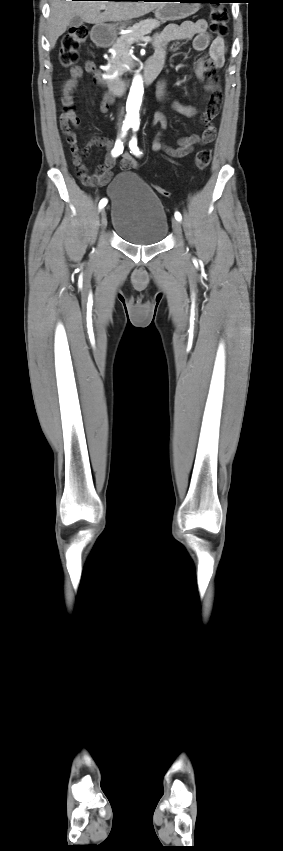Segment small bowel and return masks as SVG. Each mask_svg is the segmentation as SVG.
Returning <instances> with one entry per match:
<instances>
[{"mask_svg":"<svg viewBox=\"0 0 283 851\" xmlns=\"http://www.w3.org/2000/svg\"><path fill=\"white\" fill-rule=\"evenodd\" d=\"M192 41V46L196 51L207 50L208 58H200L195 65L196 76L206 81L205 89L209 94L215 90L214 71L216 68L222 67L225 59L226 44L222 37H212L207 31V22L203 19L196 21H184L181 24H169L162 31L155 35L154 47L155 54L152 58L161 60L163 63L167 56V45L171 42ZM84 73L91 74L98 82L103 90H108L111 87V82L106 74H102L95 66L94 62L86 61L83 65H76L70 70V77L65 82L62 88V101L66 107V112L61 117V127L63 134L70 144V151L73 157V164L78 171L90 177L89 185L95 182L100 185H105L111 178V169L115 165V158L108 154L105 161L97 169V173L92 177L88 173L86 165L82 161V156L87 155L93 146L111 147V140L107 137L94 136L85 147L80 148L75 132L69 128V123L77 124V118L73 109L72 93L78 84V80ZM158 97L161 100L167 99L166 81L163 80L158 86ZM114 101L113 95L105 93L101 103L100 110L103 113L109 111L110 106ZM221 103V95L215 94L208 98V107L200 114V120L203 123L209 122L218 112ZM171 106L178 113L186 117H195L198 115V110L191 105H184L178 101H173ZM153 123L165 125L166 119L162 112H157L154 115ZM213 130V134H207V130ZM161 132H159L152 144V149L156 152L165 151L170 156L182 158L192 153L196 144L210 143L215 137V130L208 128L202 135L192 134L179 139L178 146L175 148L164 145L161 140ZM121 168L131 169L138 166V162L128 153H125L121 159Z\"/></svg>","mask_w":283,"mask_h":851,"instance_id":"obj_1","label":"small bowel"}]
</instances>
